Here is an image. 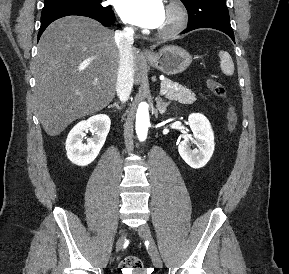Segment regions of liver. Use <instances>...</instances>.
Masks as SVG:
<instances>
[{"instance_id": "obj_1", "label": "liver", "mask_w": 289, "mask_h": 274, "mask_svg": "<svg viewBox=\"0 0 289 274\" xmlns=\"http://www.w3.org/2000/svg\"><path fill=\"white\" fill-rule=\"evenodd\" d=\"M132 54L138 82L141 57L136 49ZM119 59L113 32L95 20L68 16L47 27L33 69L38 116L49 136L112 102Z\"/></svg>"}]
</instances>
